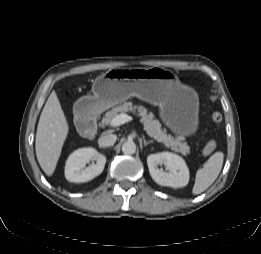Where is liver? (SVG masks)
<instances>
[{"label":"liver","instance_id":"6515ba94","mask_svg":"<svg viewBox=\"0 0 261 254\" xmlns=\"http://www.w3.org/2000/svg\"><path fill=\"white\" fill-rule=\"evenodd\" d=\"M69 126L55 91L48 97L37 126L35 150L37 160L46 175L55 169Z\"/></svg>","mask_w":261,"mask_h":254}]
</instances>
